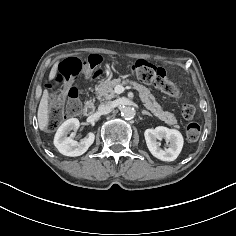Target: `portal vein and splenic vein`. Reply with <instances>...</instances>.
Wrapping results in <instances>:
<instances>
[{"label":"portal vein and splenic vein","instance_id":"1","mask_svg":"<svg viewBox=\"0 0 236 236\" xmlns=\"http://www.w3.org/2000/svg\"><path fill=\"white\" fill-rule=\"evenodd\" d=\"M124 90H125V88H124L123 86H121V85H117V86L115 87V93H117V94L123 93Z\"/></svg>","mask_w":236,"mask_h":236}]
</instances>
